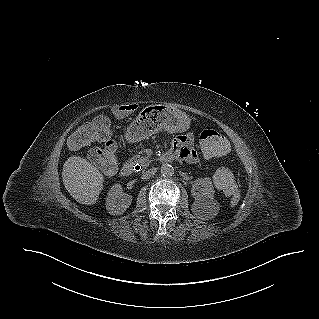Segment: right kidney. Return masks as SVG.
I'll return each mask as SVG.
<instances>
[{
  "label": "right kidney",
  "instance_id": "1",
  "mask_svg": "<svg viewBox=\"0 0 319 319\" xmlns=\"http://www.w3.org/2000/svg\"><path fill=\"white\" fill-rule=\"evenodd\" d=\"M132 197L123 192L120 184H115L108 192L106 209L110 214L121 215L131 205Z\"/></svg>",
  "mask_w": 319,
  "mask_h": 319
}]
</instances>
